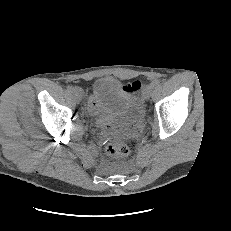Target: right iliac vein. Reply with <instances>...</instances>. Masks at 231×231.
<instances>
[{"label": "right iliac vein", "mask_w": 231, "mask_h": 231, "mask_svg": "<svg viewBox=\"0 0 231 231\" xmlns=\"http://www.w3.org/2000/svg\"><path fill=\"white\" fill-rule=\"evenodd\" d=\"M73 94H74L75 98L77 99V101H80L82 99L83 92H82L81 88L75 87Z\"/></svg>", "instance_id": "63e3f726"}]
</instances>
